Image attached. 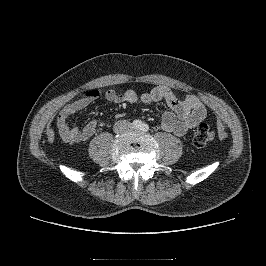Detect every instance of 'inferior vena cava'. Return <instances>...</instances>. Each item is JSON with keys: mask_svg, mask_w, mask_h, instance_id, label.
Returning <instances> with one entry per match:
<instances>
[{"mask_svg": "<svg viewBox=\"0 0 266 266\" xmlns=\"http://www.w3.org/2000/svg\"><path fill=\"white\" fill-rule=\"evenodd\" d=\"M130 122L126 120H120L115 123V129L118 132L125 131L126 129L130 128Z\"/></svg>", "mask_w": 266, "mask_h": 266, "instance_id": "1", "label": "inferior vena cava"}]
</instances>
